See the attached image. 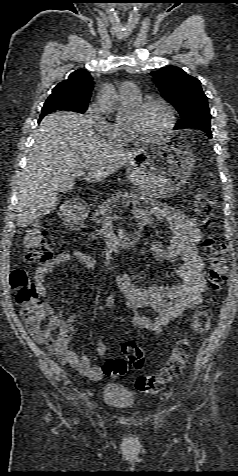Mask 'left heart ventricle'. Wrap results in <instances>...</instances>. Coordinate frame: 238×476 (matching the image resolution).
<instances>
[{"label":"left heart ventricle","instance_id":"1","mask_svg":"<svg viewBox=\"0 0 238 476\" xmlns=\"http://www.w3.org/2000/svg\"><path fill=\"white\" fill-rule=\"evenodd\" d=\"M137 130L144 134H154L161 131L167 124L168 116L160 105H150L139 115L130 112L126 119Z\"/></svg>","mask_w":238,"mask_h":476}]
</instances>
